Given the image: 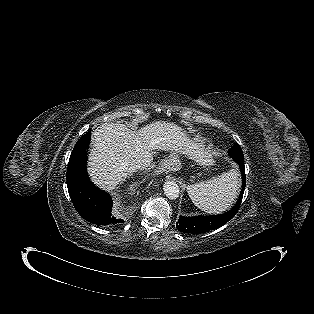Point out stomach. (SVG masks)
<instances>
[{"mask_svg": "<svg viewBox=\"0 0 314 314\" xmlns=\"http://www.w3.org/2000/svg\"><path fill=\"white\" fill-rule=\"evenodd\" d=\"M165 165L169 168H172L173 170L180 169L181 163L179 160V154L177 152L171 153L165 160Z\"/></svg>", "mask_w": 314, "mask_h": 314, "instance_id": "1", "label": "stomach"}]
</instances>
